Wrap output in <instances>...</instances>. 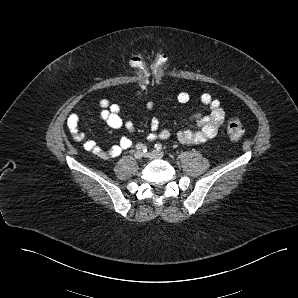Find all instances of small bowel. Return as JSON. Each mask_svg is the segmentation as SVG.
Returning a JSON list of instances; mask_svg holds the SVG:
<instances>
[{"instance_id":"obj_1","label":"small bowel","mask_w":298,"mask_h":298,"mask_svg":"<svg viewBox=\"0 0 298 298\" xmlns=\"http://www.w3.org/2000/svg\"><path fill=\"white\" fill-rule=\"evenodd\" d=\"M177 100L180 103H187L190 100V95L187 92H180L177 95ZM202 104L209 108V114H195L193 116L198 129H182L178 132L177 138L179 142L185 145L202 144L212 141L216 138L220 126L223 124L226 116L224 108L218 99L212 97L209 93H203L200 97ZM154 104L152 101L146 103V108L151 110ZM98 116L113 129H126L129 132L134 131L132 121L124 120L121 116L120 107L117 104L110 103L107 99L100 100L97 107ZM79 116L77 113H72L67 119V126L74 140L82 143L84 149L92 154H95L103 159H113L122 154L123 151L129 149L132 141L129 137L123 136L120 141L104 150L92 138L87 137L79 130ZM170 132L167 129H160L158 119L153 118L150 121V131L147 134L149 141L157 139H168Z\"/></svg>"}]
</instances>
